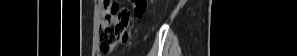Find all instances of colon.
Segmentation results:
<instances>
[{
	"label": "colon",
	"mask_w": 297,
	"mask_h": 56,
	"mask_svg": "<svg viewBox=\"0 0 297 56\" xmlns=\"http://www.w3.org/2000/svg\"><path fill=\"white\" fill-rule=\"evenodd\" d=\"M133 10L136 16L141 17L146 8V0H133ZM130 13L126 8L116 3L106 1L103 6L98 28V50L108 54L119 44V36L126 33Z\"/></svg>",
	"instance_id": "colon-1"
}]
</instances>
